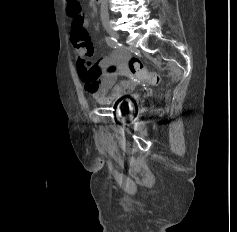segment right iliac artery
Listing matches in <instances>:
<instances>
[{"label":"right iliac artery","instance_id":"right-iliac-artery-1","mask_svg":"<svg viewBox=\"0 0 237 232\" xmlns=\"http://www.w3.org/2000/svg\"><path fill=\"white\" fill-rule=\"evenodd\" d=\"M105 41L112 48H118L119 47L118 41L113 37L106 36Z\"/></svg>","mask_w":237,"mask_h":232}]
</instances>
